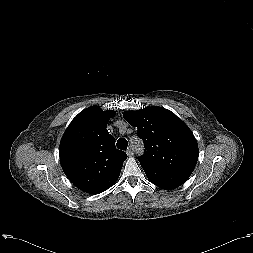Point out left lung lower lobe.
Here are the masks:
<instances>
[{"mask_svg": "<svg viewBox=\"0 0 253 253\" xmlns=\"http://www.w3.org/2000/svg\"><path fill=\"white\" fill-rule=\"evenodd\" d=\"M142 168L150 182L166 190H172L179 187L185 183L191 175V172L182 170L153 168L147 166H142Z\"/></svg>", "mask_w": 253, "mask_h": 253, "instance_id": "obj_1", "label": "left lung lower lobe"}]
</instances>
